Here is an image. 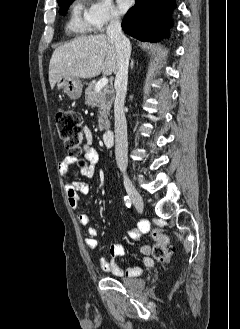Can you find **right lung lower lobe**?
Masks as SVG:
<instances>
[{"label": "right lung lower lobe", "instance_id": "right-lung-lower-lobe-1", "mask_svg": "<svg viewBox=\"0 0 240 329\" xmlns=\"http://www.w3.org/2000/svg\"><path fill=\"white\" fill-rule=\"evenodd\" d=\"M175 0H136L122 21L125 33L141 41L167 36Z\"/></svg>", "mask_w": 240, "mask_h": 329}]
</instances>
